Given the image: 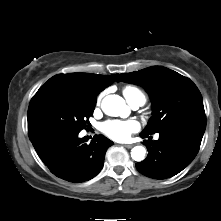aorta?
<instances>
[{
	"label": "aorta",
	"mask_w": 221,
	"mask_h": 221,
	"mask_svg": "<svg viewBox=\"0 0 221 221\" xmlns=\"http://www.w3.org/2000/svg\"><path fill=\"white\" fill-rule=\"evenodd\" d=\"M102 110L109 116H119L126 108L125 100L119 95H108L102 101ZM146 149L143 146H135L131 150V157L135 161L145 159Z\"/></svg>",
	"instance_id": "aorta-1"
}]
</instances>
